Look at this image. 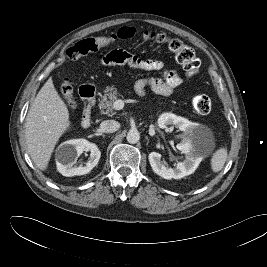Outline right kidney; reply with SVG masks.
Returning a JSON list of instances; mask_svg holds the SVG:
<instances>
[{
    "mask_svg": "<svg viewBox=\"0 0 267 267\" xmlns=\"http://www.w3.org/2000/svg\"><path fill=\"white\" fill-rule=\"evenodd\" d=\"M57 161L58 171L66 177L80 176L89 173L97 164L101 152L96 144L85 139H73L62 144ZM90 151V158L85 166H73L77 158L84 152Z\"/></svg>",
    "mask_w": 267,
    "mask_h": 267,
    "instance_id": "right-kidney-1",
    "label": "right kidney"
}]
</instances>
